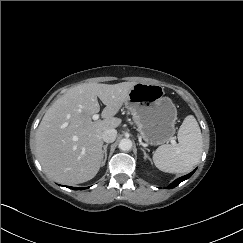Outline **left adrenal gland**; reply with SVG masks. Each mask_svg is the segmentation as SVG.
Wrapping results in <instances>:
<instances>
[{
    "mask_svg": "<svg viewBox=\"0 0 243 243\" xmlns=\"http://www.w3.org/2000/svg\"><path fill=\"white\" fill-rule=\"evenodd\" d=\"M141 150L143 151V153H144V159L145 160H149V161H151V158L148 156V154L146 153V151L143 149V148H141Z\"/></svg>",
    "mask_w": 243,
    "mask_h": 243,
    "instance_id": "1",
    "label": "left adrenal gland"
}]
</instances>
